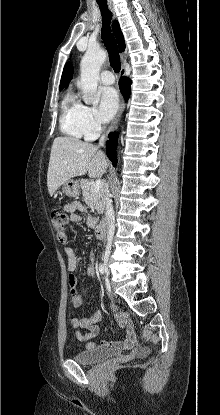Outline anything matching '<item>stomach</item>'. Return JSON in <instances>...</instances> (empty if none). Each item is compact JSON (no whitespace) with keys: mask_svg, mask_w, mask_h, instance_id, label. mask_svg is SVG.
<instances>
[{"mask_svg":"<svg viewBox=\"0 0 220 415\" xmlns=\"http://www.w3.org/2000/svg\"><path fill=\"white\" fill-rule=\"evenodd\" d=\"M63 192L70 197H78L81 193L79 181L70 179L62 186Z\"/></svg>","mask_w":220,"mask_h":415,"instance_id":"obj_1","label":"stomach"}]
</instances>
